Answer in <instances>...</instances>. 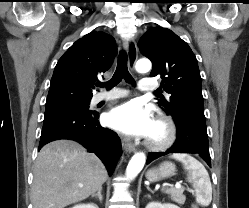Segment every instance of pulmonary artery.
I'll use <instances>...</instances> for the list:
<instances>
[{"label":"pulmonary artery","mask_w":249,"mask_h":208,"mask_svg":"<svg viewBox=\"0 0 249 208\" xmlns=\"http://www.w3.org/2000/svg\"><path fill=\"white\" fill-rule=\"evenodd\" d=\"M158 87L156 81L149 78H142L139 81L138 88L145 93L152 92ZM129 95V92L126 90H117L110 92L108 94H98L94 97L93 103H99L102 101H109L118 98H123Z\"/></svg>","instance_id":"pulmonary-artery-1"}]
</instances>
